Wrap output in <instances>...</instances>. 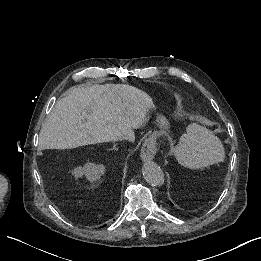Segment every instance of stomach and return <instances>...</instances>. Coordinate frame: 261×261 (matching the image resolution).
Returning <instances> with one entry per match:
<instances>
[{
    "label": "stomach",
    "mask_w": 261,
    "mask_h": 261,
    "mask_svg": "<svg viewBox=\"0 0 261 261\" xmlns=\"http://www.w3.org/2000/svg\"><path fill=\"white\" fill-rule=\"evenodd\" d=\"M157 122L159 123L161 128L168 129L169 122L167 121L166 117L163 115H158Z\"/></svg>",
    "instance_id": "obj_1"
}]
</instances>
